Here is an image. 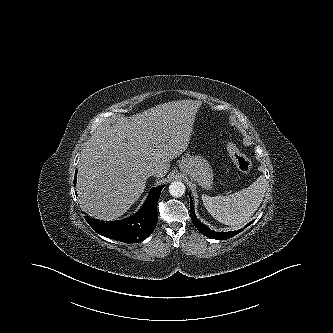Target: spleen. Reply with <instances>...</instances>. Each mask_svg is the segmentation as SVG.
Instances as JSON below:
<instances>
[{
    "label": "spleen",
    "mask_w": 333,
    "mask_h": 333,
    "mask_svg": "<svg viewBox=\"0 0 333 333\" xmlns=\"http://www.w3.org/2000/svg\"><path fill=\"white\" fill-rule=\"evenodd\" d=\"M266 179L257 178L248 188L229 196L210 197L203 195L207 211L214 219L229 226H241L257 211L266 192Z\"/></svg>",
    "instance_id": "1"
}]
</instances>
